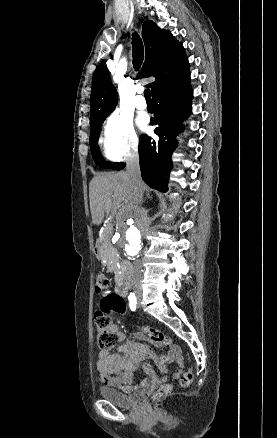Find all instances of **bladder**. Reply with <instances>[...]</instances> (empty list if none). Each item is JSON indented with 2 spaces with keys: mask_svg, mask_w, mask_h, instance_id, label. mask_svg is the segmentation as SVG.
Returning <instances> with one entry per match:
<instances>
[{
  "mask_svg": "<svg viewBox=\"0 0 277 438\" xmlns=\"http://www.w3.org/2000/svg\"><path fill=\"white\" fill-rule=\"evenodd\" d=\"M98 396L102 397L103 401L122 408H133L140 403L143 398V395L140 392L126 394L123 391L112 387H103L98 389Z\"/></svg>",
  "mask_w": 277,
  "mask_h": 438,
  "instance_id": "obj_1",
  "label": "bladder"
}]
</instances>
